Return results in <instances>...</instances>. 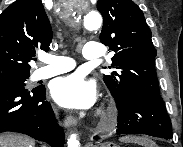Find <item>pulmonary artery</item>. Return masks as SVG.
<instances>
[{
  "mask_svg": "<svg viewBox=\"0 0 183 147\" xmlns=\"http://www.w3.org/2000/svg\"><path fill=\"white\" fill-rule=\"evenodd\" d=\"M100 45L95 42H88L82 48V55L86 59H97L101 56ZM45 66L38 68L34 72L36 80L46 79L58 74L72 70L75 67V61L69 57L58 55H45L41 58Z\"/></svg>",
  "mask_w": 183,
  "mask_h": 147,
  "instance_id": "1",
  "label": "pulmonary artery"
}]
</instances>
